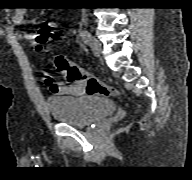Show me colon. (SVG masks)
Returning a JSON list of instances; mask_svg holds the SVG:
<instances>
[{"mask_svg": "<svg viewBox=\"0 0 192 180\" xmlns=\"http://www.w3.org/2000/svg\"><path fill=\"white\" fill-rule=\"evenodd\" d=\"M60 38V31L51 25L44 26L33 35L37 51H42L49 42L59 40ZM54 64L57 71L63 75L64 83L81 86L88 95L111 96L117 94L110 85L98 77L87 73L65 56H56Z\"/></svg>", "mask_w": 192, "mask_h": 180, "instance_id": "1", "label": "colon"}]
</instances>
